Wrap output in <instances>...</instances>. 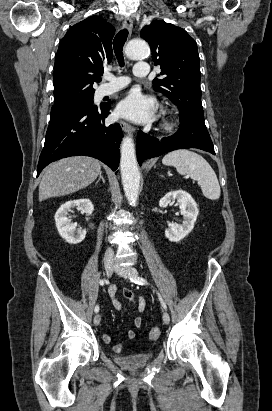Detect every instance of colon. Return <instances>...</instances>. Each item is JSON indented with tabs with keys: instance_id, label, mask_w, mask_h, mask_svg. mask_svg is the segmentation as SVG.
Returning a JSON list of instances; mask_svg holds the SVG:
<instances>
[{
	"instance_id": "obj_1",
	"label": "colon",
	"mask_w": 272,
	"mask_h": 411,
	"mask_svg": "<svg viewBox=\"0 0 272 411\" xmlns=\"http://www.w3.org/2000/svg\"><path fill=\"white\" fill-rule=\"evenodd\" d=\"M161 335V330L158 327H154L149 332V337L152 340H157Z\"/></svg>"
}]
</instances>
